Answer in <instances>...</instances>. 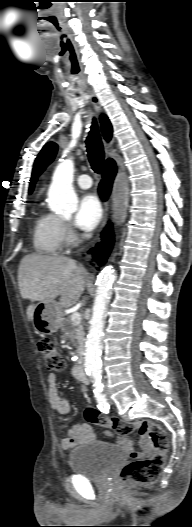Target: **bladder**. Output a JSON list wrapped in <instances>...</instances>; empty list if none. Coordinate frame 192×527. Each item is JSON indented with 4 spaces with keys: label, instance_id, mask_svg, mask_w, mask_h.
Listing matches in <instances>:
<instances>
[{
    "label": "bladder",
    "instance_id": "bladder-1",
    "mask_svg": "<svg viewBox=\"0 0 192 527\" xmlns=\"http://www.w3.org/2000/svg\"><path fill=\"white\" fill-rule=\"evenodd\" d=\"M126 458L122 448L102 441H92L70 455L69 465L73 473L89 480L99 481L122 464Z\"/></svg>",
    "mask_w": 192,
    "mask_h": 527
}]
</instances>
